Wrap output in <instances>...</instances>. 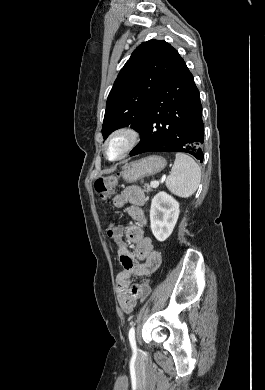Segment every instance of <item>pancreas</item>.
<instances>
[{"label": "pancreas", "mask_w": 265, "mask_h": 390, "mask_svg": "<svg viewBox=\"0 0 265 390\" xmlns=\"http://www.w3.org/2000/svg\"><path fill=\"white\" fill-rule=\"evenodd\" d=\"M144 188H145V190H146L147 192H150V191L153 190V188H156V187H154V186L152 185V183H150V184H145Z\"/></svg>", "instance_id": "1"}]
</instances>
